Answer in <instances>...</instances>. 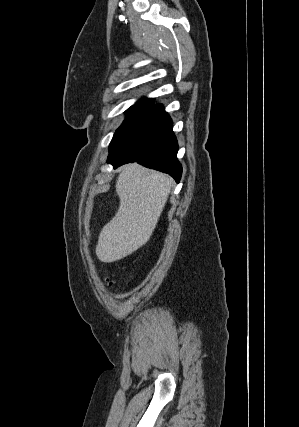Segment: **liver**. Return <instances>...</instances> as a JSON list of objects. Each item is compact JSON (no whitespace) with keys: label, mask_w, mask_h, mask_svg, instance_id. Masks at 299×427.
<instances>
[{"label":"liver","mask_w":299,"mask_h":427,"mask_svg":"<svg viewBox=\"0 0 299 427\" xmlns=\"http://www.w3.org/2000/svg\"><path fill=\"white\" fill-rule=\"evenodd\" d=\"M172 179L137 163L122 167L116 181L117 213L101 230L96 255L101 262L118 261L150 239L171 192Z\"/></svg>","instance_id":"obj_1"}]
</instances>
